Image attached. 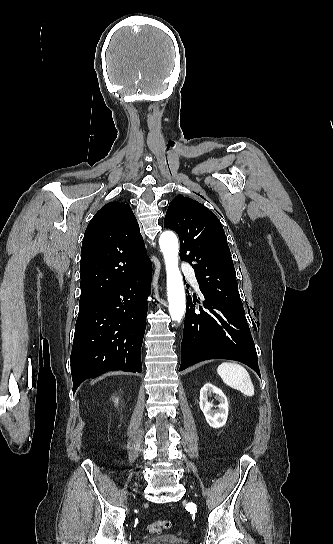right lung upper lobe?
<instances>
[{
	"label": "right lung upper lobe",
	"instance_id": "cb5924a9",
	"mask_svg": "<svg viewBox=\"0 0 333 544\" xmlns=\"http://www.w3.org/2000/svg\"><path fill=\"white\" fill-rule=\"evenodd\" d=\"M150 263L131 207L121 201L106 204L84 234L80 301L101 299Z\"/></svg>",
	"mask_w": 333,
	"mask_h": 544
}]
</instances>
